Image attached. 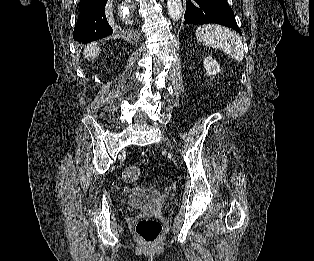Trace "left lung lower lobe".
Instances as JSON below:
<instances>
[{
  "label": "left lung lower lobe",
  "instance_id": "obj_1",
  "mask_svg": "<svg viewBox=\"0 0 314 261\" xmlns=\"http://www.w3.org/2000/svg\"><path fill=\"white\" fill-rule=\"evenodd\" d=\"M217 23L241 34L226 0H187L184 24Z\"/></svg>",
  "mask_w": 314,
  "mask_h": 261
}]
</instances>
